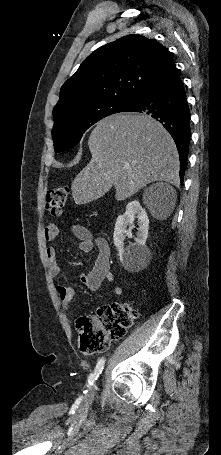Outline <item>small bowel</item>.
<instances>
[{
	"label": "small bowel",
	"mask_w": 221,
	"mask_h": 455,
	"mask_svg": "<svg viewBox=\"0 0 221 455\" xmlns=\"http://www.w3.org/2000/svg\"><path fill=\"white\" fill-rule=\"evenodd\" d=\"M74 235L79 239L78 248L82 252H90L97 247V256L94 262V266L89 273H81V282L91 291H96L100 288L103 282L112 283L114 276L110 270V248L107 241L104 238H94L91 232L82 225H74L72 227ZM45 239L49 242L54 241L57 237V228L55 225H49L46 227ZM46 259L48 262V273L52 277H57L61 272V267L58 263L57 249L53 246H49L46 249ZM71 267L80 268L82 263L80 261H72L69 263ZM58 295L61 301L64 312L70 315L73 312V298L74 290L72 287L64 284H60L57 287ZM113 292L117 296L123 294L121 286L115 285Z\"/></svg>",
	"instance_id": "obj_1"
}]
</instances>
